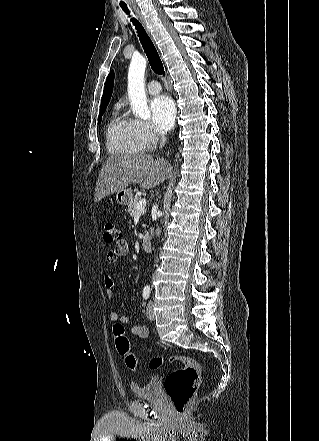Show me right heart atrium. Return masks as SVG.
<instances>
[{
  "label": "right heart atrium",
  "mask_w": 319,
  "mask_h": 441,
  "mask_svg": "<svg viewBox=\"0 0 319 441\" xmlns=\"http://www.w3.org/2000/svg\"><path fill=\"white\" fill-rule=\"evenodd\" d=\"M134 138L141 151L153 149L161 140V135L145 121L132 120Z\"/></svg>",
  "instance_id": "1"
}]
</instances>
